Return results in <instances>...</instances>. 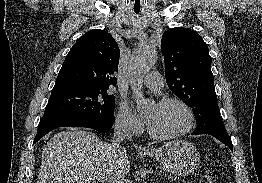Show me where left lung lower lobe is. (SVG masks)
I'll list each match as a JSON object with an SVG mask.
<instances>
[{
	"label": "left lung lower lobe",
	"instance_id": "1",
	"mask_svg": "<svg viewBox=\"0 0 262 183\" xmlns=\"http://www.w3.org/2000/svg\"><path fill=\"white\" fill-rule=\"evenodd\" d=\"M196 135L195 133H192ZM198 134H209L220 140L222 143L227 145L231 150H233V145L231 142L230 136L226 132H205V133H198Z\"/></svg>",
	"mask_w": 262,
	"mask_h": 183
}]
</instances>
